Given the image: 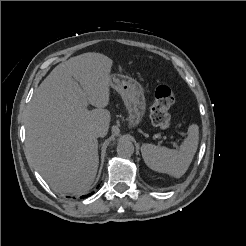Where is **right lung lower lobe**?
<instances>
[{
    "label": "right lung lower lobe",
    "mask_w": 246,
    "mask_h": 246,
    "mask_svg": "<svg viewBox=\"0 0 246 246\" xmlns=\"http://www.w3.org/2000/svg\"><path fill=\"white\" fill-rule=\"evenodd\" d=\"M98 187H99V186H97V188H98ZM93 193H94V192L89 193V194H87V195H83L82 197H83V198H87L88 196H91Z\"/></svg>",
    "instance_id": "98d812e1"
}]
</instances>
